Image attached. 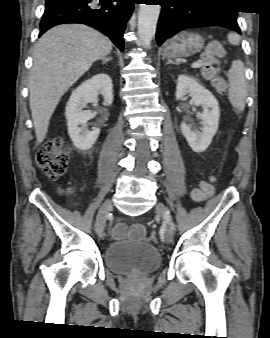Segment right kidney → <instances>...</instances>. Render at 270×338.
I'll use <instances>...</instances> for the list:
<instances>
[{"instance_id": "ca27d5eb", "label": "right kidney", "mask_w": 270, "mask_h": 338, "mask_svg": "<svg viewBox=\"0 0 270 338\" xmlns=\"http://www.w3.org/2000/svg\"><path fill=\"white\" fill-rule=\"evenodd\" d=\"M112 87L110 76L101 73L83 82L72 92L66 106L65 116L68 134L75 147L79 150L90 149L100 134V129L98 128L88 131L83 127H79V125L86 124L88 120L95 116L90 111H84L83 108L87 103H96L99 94L104 97L106 104H111L113 101Z\"/></svg>"}]
</instances>
